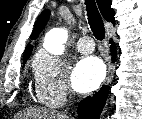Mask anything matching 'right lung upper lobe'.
I'll return each instance as SVG.
<instances>
[{
    "mask_svg": "<svg viewBox=\"0 0 142 119\" xmlns=\"http://www.w3.org/2000/svg\"><path fill=\"white\" fill-rule=\"evenodd\" d=\"M97 4L98 7L101 11V14L103 15V17L114 24L115 20H114V10L111 8V0H97ZM49 18V11L45 10L42 12V14L38 17L32 35H31V39L35 40L38 35L40 34V32L42 31L43 27L45 26V24L47 23V20ZM33 46L31 44H28L25 55H24V60L23 62L27 60V58L30 56L31 52H32Z\"/></svg>",
    "mask_w": 142,
    "mask_h": 119,
    "instance_id": "1",
    "label": "right lung upper lobe"
}]
</instances>
